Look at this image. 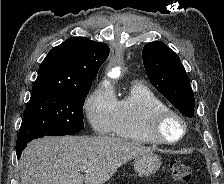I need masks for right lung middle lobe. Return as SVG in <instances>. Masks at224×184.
I'll list each match as a JSON object with an SVG mask.
<instances>
[{"mask_svg": "<svg viewBox=\"0 0 224 184\" xmlns=\"http://www.w3.org/2000/svg\"><path fill=\"white\" fill-rule=\"evenodd\" d=\"M89 89L32 90L16 146L44 136L81 131L84 128L83 106Z\"/></svg>", "mask_w": 224, "mask_h": 184, "instance_id": "right-lung-middle-lobe-1", "label": "right lung middle lobe"}]
</instances>
